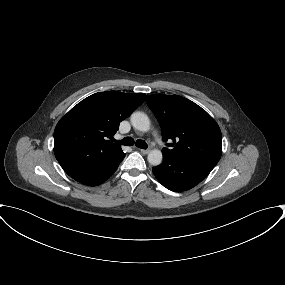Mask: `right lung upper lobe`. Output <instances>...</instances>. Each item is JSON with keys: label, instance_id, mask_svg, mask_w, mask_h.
<instances>
[{"label": "right lung upper lobe", "instance_id": "right-lung-upper-lobe-1", "mask_svg": "<svg viewBox=\"0 0 285 285\" xmlns=\"http://www.w3.org/2000/svg\"><path fill=\"white\" fill-rule=\"evenodd\" d=\"M144 93L118 91L95 93L74 106L54 131V153L58 162L78 159L84 163L111 160L122 153L121 146L107 138L119 123L145 100Z\"/></svg>", "mask_w": 285, "mask_h": 285}]
</instances>
